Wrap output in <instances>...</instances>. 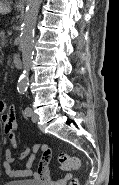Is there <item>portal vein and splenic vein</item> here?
I'll use <instances>...</instances> for the list:
<instances>
[{
  "label": "portal vein and splenic vein",
  "mask_w": 119,
  "mask_h": 185,
  "mask_svg": "<svg viewBox=\"0 0 119 185\" xmlns=\"http://www.w3.org/2000/svg\"><path fill=\"white\" fill-rule=\"evenodd\" d=\"M8 35L11 36L12 35V31H8Z\"/></svg>",
  "instance_id": "obj_1"
}]
</instances>
